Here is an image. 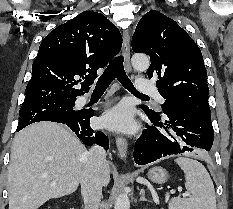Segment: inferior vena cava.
Here are the masks:
<instances>
[{"label": "inferior vena cava", "mask_w": 233, "mask_h": 209, "mask_svg": "<svg viewBox=\"0 0 233 209\" xmlns=\"http://www.w3.org/2000/svg\"><path fill=\"white\" fill-rule=\"evenodd\" d=\"M106 152L100 146H93L86 154L81 175V193L85 209H98L102 198V174L106 165Z\"/></svg>", "instance_id": "inferior-vena-cava-1"}]
</instances>
